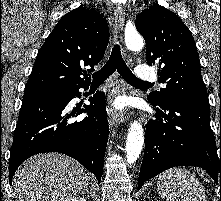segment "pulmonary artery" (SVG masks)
Segmentation results:
<instances>
[{
  "instance_id": "pulmonary-artery-1",
  "label": "pulmonary artery",
  "mask_w": 221,
  "mask_h": 201,
  "mask_svg": "<svg viewBox=\"0 0 221 201\" xmlns=\"http://www.w3.org/2000/svg\"><path fill=\"white\" fill-rule=\"evenodd\" d=\"M135 77L141 81H154L156 79L155 71L146 66V65H138L135 68Z\"/></svg>"
}]
</instances>
